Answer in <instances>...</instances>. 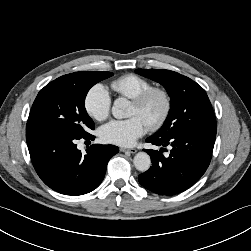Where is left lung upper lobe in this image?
I'll list each match as a JSON object with an SVG mask.
<instances>
[{
    "mask_svg": "<svg viewBox=\"0 0 251 251\" xmlns=\"http://www.w3.org/2000/svg\"><path fill=\"white\" fill-rule=\"evenodd\" d=\"M135 72L160 83L171 98L167 119L153 137L167 138L183 131L217 128L209 98L196 82L170 70L136 69Z\"/></svg>",
    "mask_w": 251,
    "mask_h": 251,
    "instance_id": "left-lung-upper-lobe-1",
    "label": "left lung upper lobe"
}]
</instances>
